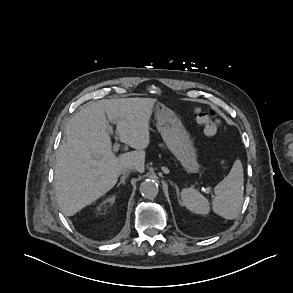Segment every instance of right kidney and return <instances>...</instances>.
Instances as JSON below:
<instances>
[{
	"instance_id": "1",
	"label": "right kidney",
	"mask_w": 293,
	"mask_h": 293,
	"mask_svg": "<svg viewBox=\"0 0 293 293\" xmlns=\"http://www.w3.org/2000/svg\"><path fill=\"white\" fill-rule=\"evenodd\" d=\"M114 201H115V197H111V198H108V199L105 201V203H111V204H113Z\"/></svg>"
}]
</instances>
